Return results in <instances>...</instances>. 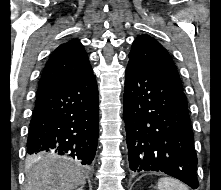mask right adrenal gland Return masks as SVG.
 <instances>
[{"label": "right adrenal gland", "instance_id": "right-adrenal-gland-1", "mask_svg": "<svg viewBox=\"0 0 221 190\" xmlns=\"http://www.w3.org/2000/svg\"><path fill=\"white\" fill-rule=\"evenodd\" d=\"M77 190H83V186H81L80 188H78Z\"/></svg>", "mask_w": 221, "mask_h": 190}]
</instances>
